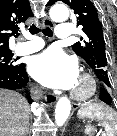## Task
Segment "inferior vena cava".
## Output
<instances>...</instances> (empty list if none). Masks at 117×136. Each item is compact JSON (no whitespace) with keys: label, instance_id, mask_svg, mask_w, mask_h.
Listing matches in <instances>:
<instances>
[{"label":"inferior vena cava","instance_id":"602c4592","mask_svg":"<svg viewBox=\"0 0 117 136\" xmlns=\"http://www.w3.org/2000/svg\"><path fill=\"white\" fill-rule=\"evenodd\" d=\"M42 90L40 89H32L31 94L34 99H40L42 97Z\"/></svg>","mask_w":117,"mask_h":136}]
</instances>
